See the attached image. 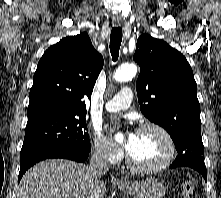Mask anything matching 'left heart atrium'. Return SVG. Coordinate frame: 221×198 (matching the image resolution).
Segmentation results:
<instances>
[{
    "instance_id": "1",
    "label": "left heart atrium",
    "mask_w": 221,
    "mask_h": 198,
    "mask_svg": "<svg viewBox=\"0 0 221 198\" xmlns=\"http://www.w3.org/2000/svg\"><path fill=\"white\" fill-rule=\"evenodd\" d=\"M135 138H136V132L133 131V130H129L126 132V136H125V143H124V149L128 152L134 141H135Z\"/></svg>"
}]
</instances>
